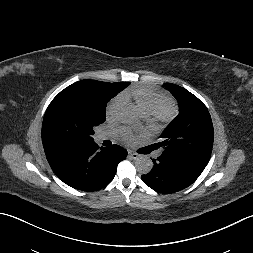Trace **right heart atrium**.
I'll use <instances>...</instances> for the list:
<instances>
[{"label": "right heart atrium", "mask_w": 253, "mask_h": 253, "mask_svg": "<svg viewBox=\"0 0 253 253\" xmlns=\"http://www.w3.org/2000/svg\"><path fill=\"white\" fill-rule=\"evenodd\" d=\"M123 103L124 98L122 95L115 97L109 102L106 109V117L108 120H113L118 116Z\"/></svg>", "instance_id": "d8ad5b80"}]
</instances>
